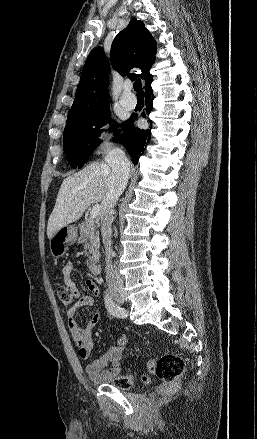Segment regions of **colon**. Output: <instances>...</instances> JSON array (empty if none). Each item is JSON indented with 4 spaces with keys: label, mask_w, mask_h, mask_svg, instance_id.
<instances>
[{
    "label": "colon",
    "mask_w": 257,
    "mask_h": 439,
    "mask_svg": "<svg viewBox=\"0 0 257 439\" xmlns=\"http://www.w3.org/2000/svg\"><path fill=\"white\" fill-rule=\"evenodd\" d=\"M57 293L64 306H71L76 298L73 291L66 285L58 286ZM185 367V360L177 354L164 355L157 361L149 359V370L156 374L162 382V386L159 389L160 395H170L178 388L179 379L184 372ZM143 381H147L146 376L143 377ZM113 383L120 389H129L134 384V378L130 374L119 373L114 378Z\"/></svg>",
    "instance_id": "5ec220e1"
}]
</instances>
